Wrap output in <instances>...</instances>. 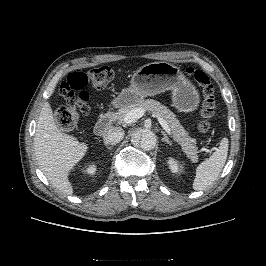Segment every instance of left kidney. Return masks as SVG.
<instances>
[{
	"label": "left kidney",
	"mask_w": 266,
	"mask_h": 266,
	"mask_svg": "<svg viewBox=\"0 0 266 266\" xmlns=\"http://www.w3.org/2000/svg\"><path fill=\"white\" fill-rule=\"evenodd\" d=\"M167 163H168V165H169L170 170H171L173 173H177V172H179V170H180V168H179V164H178V162H177L175 159H173V158H169Z\"/></svg>",
	"instance_id": "left-kidney-1"
}]
</instances>
